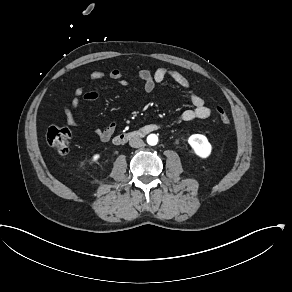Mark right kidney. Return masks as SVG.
<instances>
[{"label":"right kidney","mask_w":292,"mask_h":292,"mask_svg":"<svg viewBox=\"0 0 292 292\" xmlns=\"http://www.w3.org/2000/svg\"><path fill=\"white\" fill-rule=\"evenodd\" d=\"M101 158V154H94L91 158V165L96 163Z\"/></svg>","instance_id":"right-kidney-1"}]
</instances>
